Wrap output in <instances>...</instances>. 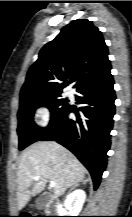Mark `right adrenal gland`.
Listing matches in <instances>:
<instances>
[{
    "label": "right adrenal gland",
    "mask_w": 132,
    "mask_h": 217,
    "mask_svg": "<svg viewBox=\"0 0 132 217\" xmlns=\"http://www.w3.org/2000/svg\"><path fill=\"white\" fill-rule=\"evenodd\" d=\"M85 182H87V180H84V181H83V183H85ZM77 186H79V183L74 184V186H72V188L70 189V191L73 190V189H74L75 187H77Z\"/></svg>",
    "instance_id": "right-adrenal-gland-1"
}]
</instances>
